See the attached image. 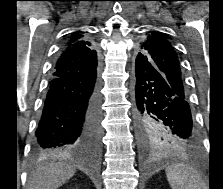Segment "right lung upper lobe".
Wrapping results in <instances>:
<instances>
[{"instance_id":"cb5924a9","label":"right lung upper lobe","mask_w":223,"mask_h":189,"mask_svg":"<svg viewBox=\"0 0 223 189\" xmlns=\"http://www.w3.org/2000/svg\"><path fill=\"white\" fill-rule=\"evenodd\" d=\"M98 66L97 53L84 32H74L61 50L52 77L82 76Z\"/></svg>"}]
</instances>
